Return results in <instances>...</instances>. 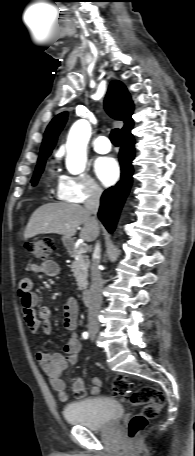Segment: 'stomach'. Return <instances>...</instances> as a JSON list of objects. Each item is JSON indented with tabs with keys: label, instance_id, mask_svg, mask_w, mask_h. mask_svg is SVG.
I'll use <instances>...</instances> for the list:
<instances>
[{
	"label": "stomach",
	"instance_id": "stomach-1",
	"mask_svg": "<svg viewBox=\"0 0 195 456\" xmlns=\"http://www.w3.org/2000/svg\"><path fill=\"white\" fill-rule=\"evenodd\" d=\"M62 243L65 247L69 248L72 244V240L71 239H68L66 237H62Z\"/></svg>",
	"mask_w": 195,
	"mask_h": 456
}]
</instances>
